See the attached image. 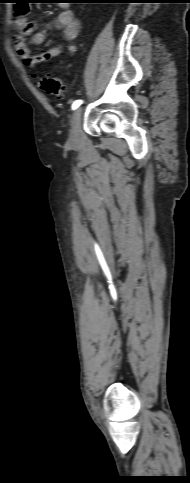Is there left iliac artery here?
Wrapping results in <instances>:
<instances>
[{"label":"left iliac artery","instance_id":"1","mask_svg":"<svg viewBox=\"0 0 190 483\" xmlns=\"http://www.w3.org/2000/svg\"><path fill=\"white\" fill-rule=\"evenodd\" d=\"M82 102H83L82 100L74 101L73 104H72V110L77 109L82 104Z\"/></svg>","mask_w":190,"mask_h":483}]
</instances>
